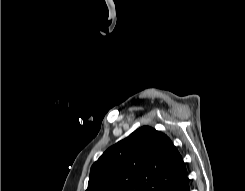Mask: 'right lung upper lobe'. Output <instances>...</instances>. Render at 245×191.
I'll return each mask as SVG.
<instances>
[{
  "mask_svg": "<svg viewBox=\"0 0 245 191\" xmlns=\"http://www.w3.org/2000/svg\"><path fill=\"white\" fill-rule=\"evenodd\" d=\"M187 175L170 138L143 126L92 165L86 191H164Z\"/></svg>",
  "mask_w": 245,
  "mask_h": 191,
  "instance_id": "cb5924a9",
  "label": "right lung upper lobe"
}]
</instances>
